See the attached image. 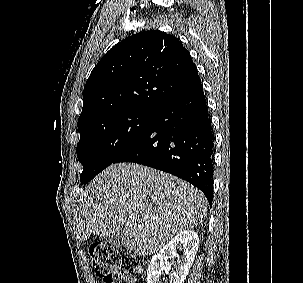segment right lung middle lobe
Here are the masks:
<instances>
[{
  "mask_svg": "<svg viewBox=\"0 0 303 283\" xmlns=\"http://www.w3.org/2000/svg\"><path fill=\"white\" fill-rule=\"evenodd\" d=\"M153 115L152 111H128L79 131L76 150L83 165L81 183H88L124 153L144 133Z\"/></svg>",
  "mask_w": 303,
  "mask_h": 283,
  "instance_id": "right-lung-middle-lobe-1",
  "label": "right lung middle lobe"
}]
</instances>
